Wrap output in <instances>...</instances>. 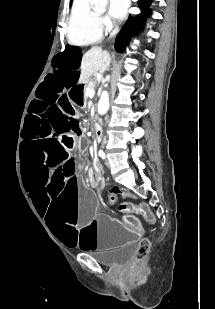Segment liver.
<instances>
[{"mask_svg": "<svg viewBox=\"0 0 215 309\" xmlns=\"http://www.w3.org/2000/svg\"><path fill=\"white\" fill-rule=\"evenodd\" d=\"M111 56L108 50H102L101 46H92L82 56L81 60V74L79 82H88L92 74L100 72L103 74L110 66Z\"/></svg>", "mask_w": 215, "mask_h": 309, "instance_id": "6515ba94", "label": "liver"}]
</instances>
